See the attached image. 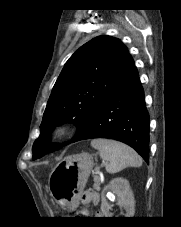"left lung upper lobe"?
<instances>
[{
	"label": "left lung upper lobe",
	"mask_w": 181,
	"mask_h": 227,
	"mask_svg": "<svg viewBox=\"0 0 181 227\" xmlns=\"http://www.w3.org/2000/svg\"><path fill=\"white\" fill-rule=\"evenodd\" d=\"M134 67L133 59L119 39L98 36L80 47L66 62L53 87L40 136L33 144L32 159L63 147L50 143V133L59 123L77 124L73 141L84 136L103 102Z\"/></svg>",
	"instance_id": "left-lung-upper-lobe-1"
}]
</instances>
